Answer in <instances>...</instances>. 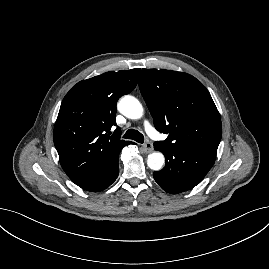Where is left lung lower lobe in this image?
<instances>
[{"instance_id":"0a47b994","label":"left lung lower lobe","mask_w":269,"mask_h":269,"mask_svg":"<svg viewBox=\"0 0 269 269\" xmlns=\"http://www.w3.org/2000/svg\"><path fill=\"white\" fill-rule=\"evenodd\" d=\"M166 158L161 171H155V181L168 193H180L199 184L214 164L216 151L196 147L158 146Z\"/></svg>"}]
</instances>
